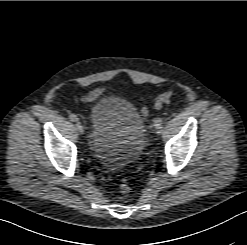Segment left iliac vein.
Returning a JSON list of instances; mask_svg holds the SVG:
<instances>
[{"instance_id":"obj_1","label":"left iliac vein","mask_w":247,"mask_h":245,"mask_svg":"<svg viewBox=\"0 0 247 245\" xmlns=\"http://www.w3.org/2000/svg\"><path fill=\"white\" fill-rule=\"evenodd\" d=\"M155 130L158 135H160L163 131V127L161 125H155Z\"/></svg>"}]
</instances>
